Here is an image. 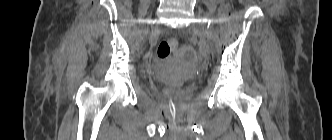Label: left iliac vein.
I'll list each match as a JSON object with an SVG mask.
<instances>
[{"label": "left iliac vein", "instance_id": "1", "mask_svg": "<svg viewBox=\"0 0 332 140\" xmlns=\"http://www.w3.org/2000/svg\"><path fill=\"white\" fill-rule=\"evenodd\" d=\"M198 35H199V37H200V43H201L202 48H203L206 52L210 53L211 50H210V47H209V45H208V43H207V41H206L204 35H203V34H198Z\"/></svg>", "mask_w": 332, "mask_h": 140}]
</instances>
